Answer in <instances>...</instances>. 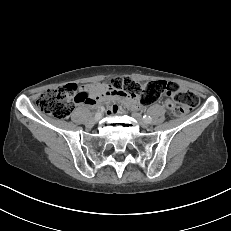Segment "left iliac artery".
Segmentation results:
<instances>
[{"label": "left iliac artery", "mask_w": 231, "mask_h": 231, "mask_svg": "<svg viewBox=\"0 0 231 231\" xmlns=\"http://www.w3.org/2000/svg\"><path fill=\"white\" fill-rule=\"evenodd\" d=\"M143 118L147 122H150L152 120V118L150 116H148V115H144Z\"/></svg>", "instance_id": "obj_1"}]
</instances>
